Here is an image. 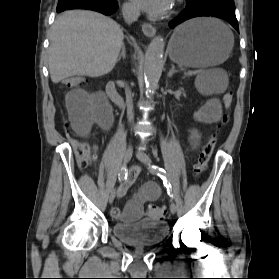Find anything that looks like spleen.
<instances>
[{
	"mask_svg": "<svg viewBox=\"0 0 279 279\" xmlns=\"http://www.w3.org/2000/svg\"><path fill=\"white\" fill-rule=\"evenodd\" d=\"M220 25L223 27V29L226 31V33L232 34V32L229 30V28L224 25L223 23L220 22ZM233 35V34H232ZM218 71L216 70H208L205 71L201 74L196 79V87L198 88L199 91L201 92H206V93H221L224 92V90L227 87L228 80L226 76H223L221 78H215L213 79V76L216 75Z\"/></svg>",
	"mask_w": 279,
	"mask_h": 279,
	"instance_id": "spleen-1",
	"label": "spleen"
}]
</instances>
